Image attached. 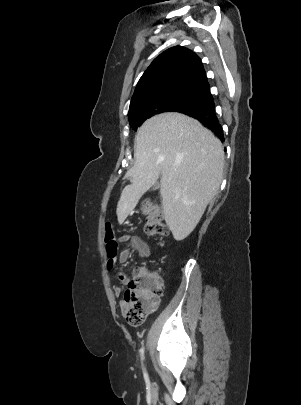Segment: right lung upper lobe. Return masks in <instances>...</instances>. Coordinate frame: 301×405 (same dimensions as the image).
Wrapping results in <instances>:
<instances>
[{"label":"right lung upper lobe","instance_id":"1","mask_svg":"<svg viewBox=\"0 0 301 405\" xmlns=\"http://www.w3.org/2000/svg\"><path fill=\"white\" fill-rule=\"evenodd\" d=\"M173 88H191L210 94L201 59L182 46L169 48L153 60L138 81L129 109L143 97Z\"/></svg>","mask_w":301,"mask_h":405}]
</instances>
